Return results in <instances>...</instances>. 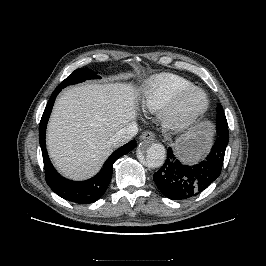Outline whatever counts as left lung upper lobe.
<instances>
[{
	"label": "left lung upper lobe",
	"mask_w": 266,
	"mask_h": 266,
	"mask_svg": "<svg viewBox=\"0 0 266 266\" xmlns=\"http://www.w3.org/2000/svg\"><path fill=\"white\" fill-rule=\"evenodd\" d=\"M217 133H220V129L227 128V120L224 114V111L220 104L217 105Z\"/></svg>",
	"instance_id": "1"
}]
</instances>
